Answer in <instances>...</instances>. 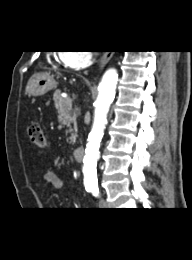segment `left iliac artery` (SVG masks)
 <instances>
[{"label": "left iliac artery", "instance_id": "obj_1", "mask_svg": "<svg viewBox=\"0 0 192 260\" xmlns=\"http://www.w3.org/2000/svg\"><path fill=\"white\" fill-rule=\"evenodd\" d=\"M91 192L95 197L99 196V190L97 186L92 187Z\"/></svg>", "mask_w": 192, "mask_h": 260}]
</instances>
